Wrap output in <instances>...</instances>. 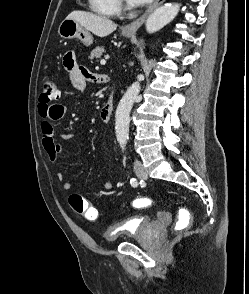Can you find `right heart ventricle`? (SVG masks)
<instances>
[{
  "mask_svg": "<svg viewBox=\"0 0 249 294\" xmlns=\"http://www.w3.org/2000/svg\"><path fill=\"white\" fill-rule=\"evenodd\" d=\"M90 8L93 12L113 17L120 13V3L118 0H88Z\"/></svg>",
  "mask_w": 249,
  "mask_h": 294,
  "instance_id": "1",
  "label": "right heart ventricle"
}]
</instances>
